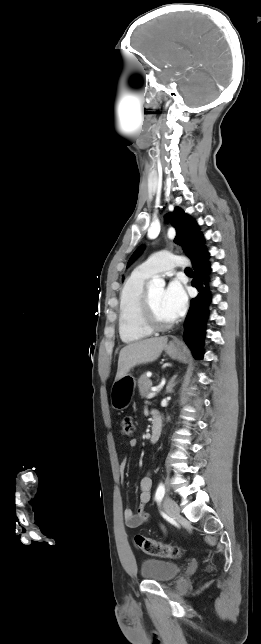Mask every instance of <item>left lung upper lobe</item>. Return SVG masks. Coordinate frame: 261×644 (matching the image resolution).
<instances>
[{
  "label": "left lung upper lobe",
  "mask_w": 261,
  "mask_h": 644,
  "mask_svg": "<svg viewBox=\"0 0 261 644\" xmlns=\"http://www.w3.org/2000/svg\"><path fill=\"white\" fill-rule=\"evenodd\" d=\"M165 219L172 222L176 229L174 242L183 247L185 254L192 260L198 261L209 256L204 247V237L198 232L195 221L180 208H175L173 213L165 215ZM140 246L131 256L128 264L132 263L142 252Z\"/></svg>",
  "instance_id": "left-lung-upper-lobe-1"
}]
</instances>
